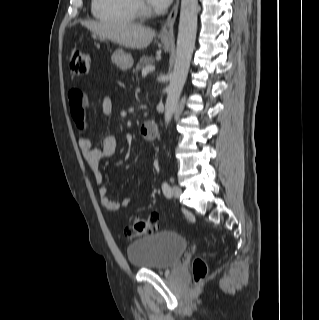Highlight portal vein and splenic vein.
<instances>
[{
  "label": "portal vein and splenic vein",
  "mask_w": 319,
  "mask_h": 320,
  "mask_svg": "<svg viewBox=\"0 0 319 320\" xmlns=\"http://www.w3.org/2000/svg\"><path fill=\"white\" fill-rule=\"evenodd\" d=\"M155 70L154 66H147L142 70V76L145 77L148 73L153 72Z\"/></svg>",
  "instance_id": "portal-vein-and-splenic-vein-1"
}]
</instances>
